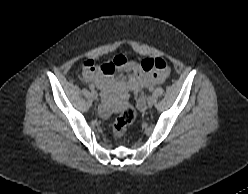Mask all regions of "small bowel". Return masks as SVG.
Here are the masks:
<instances>
[{"mask_svg":"<svg viewBox=\"0 0 248 194\" xmlns=\"http://www.w3.org/2000/svg\"><path fill=\"white\" fill-rule=\"evenodd\" d=\"M147 60L138 63L128 60L123 54H117L111 62L98 65L94 60H87L83 63L80 75L85 83L96 86L105 98L113 90L138 92L162 84L170 74L167 64L162 71L145 70L144 63ZM101 113L109 115L107 104L102 105Z\"/></svg>","mask_w":248,"mask_h":194,"instance_id":"c3829d8e","label":"small bowel"}]
</instances>
